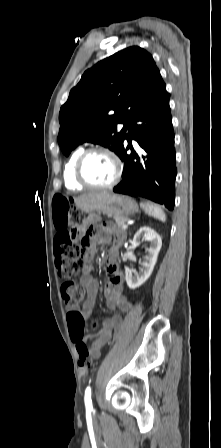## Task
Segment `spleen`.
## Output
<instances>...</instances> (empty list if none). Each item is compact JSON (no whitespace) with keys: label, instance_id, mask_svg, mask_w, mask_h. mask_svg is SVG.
Returning a JSON list of instances; mask_svg holds the SVG:
<instances>
[{"label":"spleen","instance_id":"obj_1","mask_svg":"<svg viewBox=\"0 0 221 448\" xmlns=\"http://www.w3.org/2000/svg\"><path fill=\"white\" fill-rule=\"evenodd\" d=\"M145 213L148 214L151 217H154L155 219H158L162 222L166 221V215L162 208L155 204H142Z\"/></svg>","mask_w":221,"mask_h":448}]
</instances>
